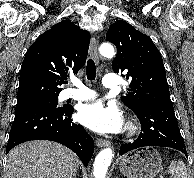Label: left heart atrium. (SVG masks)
I'll list each match as a JSON object with an SVG mask.
<instances>
[{
    "label": "left heart atrium",
    "instance_id": "39dd6f15",
    "mask_svg": "<svg viewBox=\"0 0 194 178\" xmlns=\"http://www.w3.org/2000/svg\"><path fill=\"white\" fill-rule=\"evenodd\" d=\"M81 124L100 134L119 133L124 128V120L115 105L105 106L101 102L83 105L78 112Z\"/></svg>",
    "mask_w": 194,
    "mask_h": 178
}]
</instances>
